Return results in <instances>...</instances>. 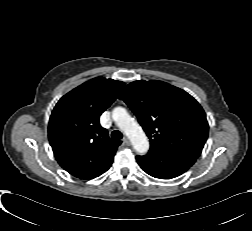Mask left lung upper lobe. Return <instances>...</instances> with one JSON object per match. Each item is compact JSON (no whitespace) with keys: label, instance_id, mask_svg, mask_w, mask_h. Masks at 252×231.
<instances>
[{"label":"left lung upper lobe","instance_id":"left-lung-upper-lobe-1","mask_svg":"<svg viewBox=\"0 0 252 231\" xmlns=\"http://www.w3.org/2000/svg\"><path fill=\"white\" fill-rule=\"evenodd\" d=\"M150 139V151L199 157L208 137L200 104L187 92L161 81H134L120 93Z\"/></svg>","mask_w":252,"mask_h":231}]
</instances>
